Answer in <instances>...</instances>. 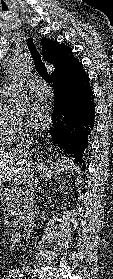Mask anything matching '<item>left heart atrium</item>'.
<instances>
[{"instance_id": "left-heart-atrium-1", "label": "left heart atrium", "mask_w": 113, "mask_h": 279, "mask_svg": "<svg viewBox=\"0 0 113 279\" xmlns=\"http://www.w3.org/2000/svg\"><path fill=\"white\" fill-rule=\"evenodd\" d=\"M29 119L35 127H43L48 124L51 117V109L43 98H37L30 106Z\"/></svg>"}]
</instances>
